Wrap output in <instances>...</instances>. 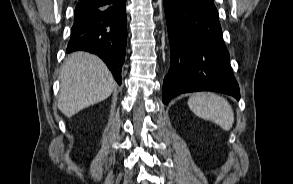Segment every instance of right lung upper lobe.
Masks as SVG:
<instances>
[{"instance_id":"1","label":"right lung upper lobe","mask_w":293,"mask_h":184,"mask_svg":"<svg viewBox=\"0 0 293 184\" xmlns=\"http://www.w3.org/2000/svg\"><path fill=\"white\" fill-rule=\"evenodd\" d=\"M111 0H79V3L77 5L81 4H87L90 6H95V7H102V6H109L111 3H109Z\"/></svg>"}]
</instances>
